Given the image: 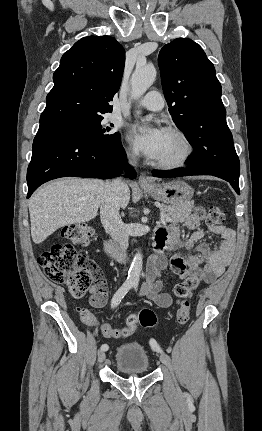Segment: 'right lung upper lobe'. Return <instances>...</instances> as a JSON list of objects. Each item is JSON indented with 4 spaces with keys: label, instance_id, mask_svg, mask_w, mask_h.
I'll list each match as a JSON object with an SVG mask.
<instances>
[{
    "label": "right lung upper lobe",
    "instance_id": "1",
    "mask_svg": "<svg viewBox=\"0 0 262 431\" xmlns=\"http://www.w3.org/2000/svg\"><path fill=\"white\" fill-rule=\"evenodd\" d=\"M122 45L110 36H88L64 53L54 72L40 127L112 112L109 105L121 84Z\"/></svg>",
    "mask_w": 262,
    "mask_h": 431
}]
</instances>
